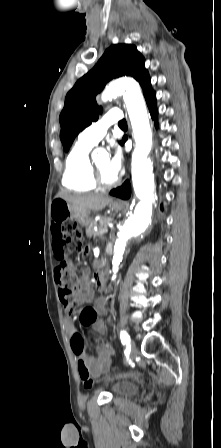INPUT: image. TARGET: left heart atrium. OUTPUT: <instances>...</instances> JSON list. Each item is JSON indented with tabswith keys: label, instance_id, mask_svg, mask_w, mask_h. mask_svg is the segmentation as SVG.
I'll return each mask as SVG.
<instances>
[{
	"label": "left heart atrium",
	"instance_id": "1",
	"mask_svg": "<svg viewBox=\"0 0 221 448\" xmlns=\"http://www.w3.org/2000/svg\"><path fill=\"white\" fill-rule=\"evenodd\" d=\"M123 165V156L119 149H115L113 154L110 156L108 160V172L114 178H117L119 175Z\"/></svg>",
	"mask_w": 221,
	"mask_h": 448
}]
</instances>
